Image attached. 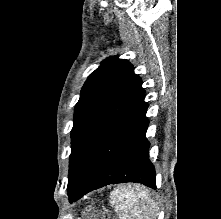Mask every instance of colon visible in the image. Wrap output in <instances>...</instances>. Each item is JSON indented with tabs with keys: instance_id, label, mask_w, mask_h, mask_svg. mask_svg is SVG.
<instances>
[{
	"instance_id": "colon-1",
	"label": "colon",
	"mask_w": 221,
	"mask_h": 219,
	"mask_svg": "<svg viewBox=\"0 0 221 219\" xmlns=\"http://www.w3.org/2000/svg\"><path fill=\"white\" fill-rule=\"evenodd\" d=\"M82 219H115L112 214L105 210H99L89 206L85 209Z\"/></svg>"
}]
</instances>
